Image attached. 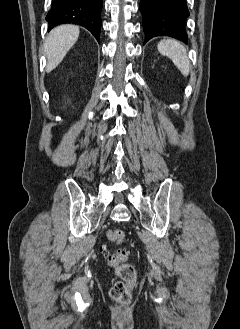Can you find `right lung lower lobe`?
I'll return each mask as SVG.
<instances>
[{
    "label": "right lung lower lobe",
    "instance_id": "right-lung-lower-lobe-1",
    "mask_svg": "<svg viewBox=\"0 0 240 329\" xmlns=\"http://www.w3.org/2000/svg\"><path fill=\"white\" fill-rule=\"evenodd\" d=\"M102 0H53L46 21L51 30L60 24H77L87 28L99 42Z\"/></svg>",
    "mask_w": 240,
    "mask_h": 329
}]
</instances>
